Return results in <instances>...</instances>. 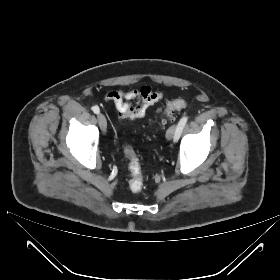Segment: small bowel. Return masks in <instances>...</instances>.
Segmentation results:
<instances>
[{"mask_svg":"<svg viewBox=\"0 0 280 280\" xmlns=\"http://www.w3.org/2000/svg\"><path fill=\"white\" fill-rule=\"evenodd\" d=\"M163 97L162 90L145 84L139 89L111 91L105 99L113 104L120 120L136 121L144 118Z\"/></svg>","mask_w":280,"mask_h":280,"instance_id":"1","label":"small bowel"}]
</instances>
